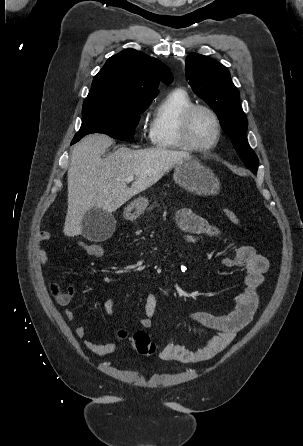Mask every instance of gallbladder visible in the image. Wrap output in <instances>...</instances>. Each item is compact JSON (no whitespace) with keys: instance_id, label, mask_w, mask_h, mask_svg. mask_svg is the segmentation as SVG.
Masks as SVG:
<instances>
[{"instance_id":"gallbladder-1","label":"gallbladder","mask_w":303,"mask_h":446,"mask_svg":"<svg viewBox=\"0 0 303 446\" xmlns=\"http://www.w3.org/2000/svg\"><path fill=\"white\" fill-rule=\"evenodd\" d=\"M116 221L111 213L92 208L83 217L82 235L91 241L108 239L115 230Z\"/></svg>"}]
</instances>
